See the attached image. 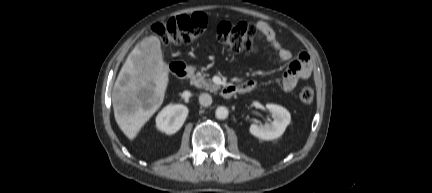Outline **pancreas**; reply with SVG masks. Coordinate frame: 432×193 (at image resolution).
Segmentation results:
<instances>
[{
	"instance_id": "obj_1",
	"label": "pancreas",
	"mask_w": 432,
	"mask_h": 193,
	"mask_svg": "<svg viewBox=\"0 0 432 193\" xmlns=\"http://www.w3.org/2000/svg\"><path fill=\"white\" fill-rule=\"evenodd\" d=\"M192 83L198 88H203L211 92H215L219 89L218 85L214 84L211 80L205 79V75L201 72H198L193 77Z\"/></svg>"
}]
</instances>
